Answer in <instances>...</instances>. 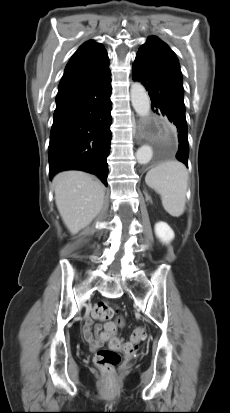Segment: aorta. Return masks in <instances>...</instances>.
<instances>
[{"instance_id":"1","label":"aorta","mask_w":230,"mask_h":413,"mask_svg":"<svg viewBox=\"0 0 230 413\" xmlns=\"http://www.w3.org/2000/svg\"><path fill=\"white\" fill-rule=\"evenodd\" d=\"M131 102L135 112L140 117H147L150 112V98L144 86L139 82L131 85ZM153 156L151 146L143 145L136 152L139 164H147Z\"/></svg>"}]
</instances>
